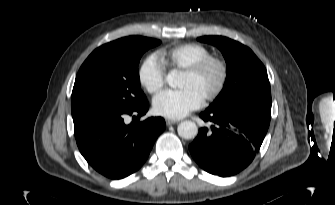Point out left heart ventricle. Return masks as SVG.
<instances>
[{
  "label": "left heart ventricle",
  "instance_id": "1",
  "mask_svg": "<svg viewBox=\"0 0 335 205\" xmlns=\"http://www.w3.org/2000/svg\"><path fill=\"white\" fill-rule=\"evenodd\" d=\"M219 79V69L217 66L209 67L203 74L193 77L186 73L182 74L180 87H191L197 90L202 96L212 91Z\"/></svg>",
  "mask_w": 335,
  "mask_h": 205
}]
</instances>
